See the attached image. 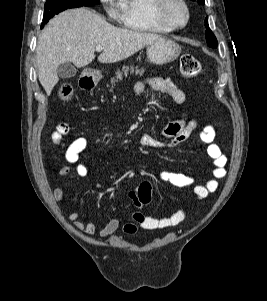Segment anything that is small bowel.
Instances as JSON below:
<instances>
[{"instance_id": "1", "label": "small bowel", "mask_w": 267, "mask_h": 301, "mask_svg": "<svg viewBox=\"0 0 267 301\" xmlns=\"http://www.w3.org/2000/svg\"><path fill=\"white\" fill-rule=\"evenodd\" d=\"M147 88L169 95L177 104H183L186 100L184 91L173 80L165 77H151L137 82L134 86L137 94H142ZM197 127L195 120L181 118L169 122L163 129L164 140L155 138L150 134H143L140 138V144L151 148H174L180 143L186 141ZM70 133V125L66 122H60L56 125L51 134V140L54 145L65 147L64 138ZM199 139L206 145L208 156L213 160V177L203 185L194 187V196L196 200H204L211 193L215 192L219 186V180L226 176L227 157L222 153L219 145L216 143V130L213 125H205L199 133ZM87 148V140L83 137L76 138L66 146L65 160L68 164L75 167L79 177H85L88 174L87 166L80 161L81 153ZM71 172L69 166H62L59 174L67 176ZM159 178L174 187H187L194 183V179L180 172H171L163 170L159 173ZM137 190L128 193L127 197L132 200L136 206L142 207L137 200ZM56 201H62L65 197L64 191L57 188L53 192ZM187 211H176L162 218L145 217L141 212H135L132 215V221L123 226V232L135 233L139 227L144 229H160L172 227L180 224L187 219ZM68 219L74 226L87 235H93L96 232L95 225L90 221L81 219L79 212H72ZM120 226L117 217L111 218L100 230L99 235L106 238L114 234Z\"/></svg>"}]
</instances>
